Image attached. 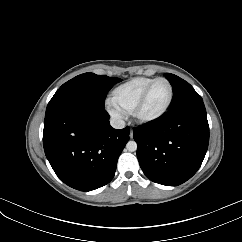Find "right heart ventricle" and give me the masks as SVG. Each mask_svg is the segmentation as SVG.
<instances>
[{
	"mask_svg": "<svg viewBox=\"0 0 242 242\" xmlns=\"http://www.w3.org/2000/svg\"><path fill=\"white\" fill-rule=\"evenodd\" d=\"M153 80L150 77H136L116 87L112 92V103L120 111L130 114L145 87Z\"/></svg>",
	"mask_w": 242,
	"mask_h": 242,
	"instance_id": "obj_1",
	"label": "right heart ventricle"
}]
</instances>
